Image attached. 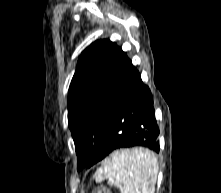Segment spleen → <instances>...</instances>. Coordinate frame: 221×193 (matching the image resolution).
<instances>
[{"instance_id": "1", "label": "spleen", "mask_w": 221, "mask_h": 193, "mask_svg": "<svg viewBox=\"0 0 221 193\" xmlns=\"http://www.w3.org/2000/svg\"><path fill=\"white\" fill-rule=\"evenodd\" d=\"M158 160L154 153L137 146L114 151L94 174L95 181L108 180L121 193H154Z\"/></svg>"}]
</instances>
